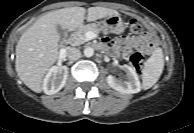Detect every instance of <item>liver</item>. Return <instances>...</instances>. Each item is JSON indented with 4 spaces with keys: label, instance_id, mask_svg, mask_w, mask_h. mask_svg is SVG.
<instances>
[{
    "label": "liver",
    "instance_id": "liver-1",
    "mask_svg": "<svg viewBox=\"0 0 194 133\" xmlns=\"http://www.w3.org/2000/svg\"><path fill=\"white\" fill-rule=\"evenodd\" d=\"M87 21L119 15L114 9L90 7ZM86 10L83 7L63 8L41 16L20 37L16 45L15 68L23 83L36 93L42 91L45 74L58 59L60 36L57 26L74 31L82 26Z\"/></svg>",
    "mask_w": 194,
    "mask_h": 133
}]
</instances>
